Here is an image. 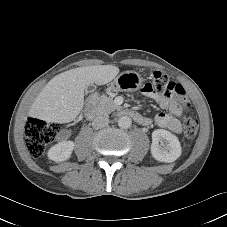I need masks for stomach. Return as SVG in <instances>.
Returning a JSON list of instances; mask_svg holds the SVG:
<instances>
[{"label":"stomach","mask_w":227,"mask_h":227,"mask_svg":"<svg viewBox=\"0 0 227 227\" xmlns=\"http://www.w3.org/2000/svg\"><path fill=\"white\" fill-rule=\"evenodd\" d=\"M143 78L138 72L125 71L111 82L109 89L114 92H134L140 89Z\"/></svg>","instance_id":"0dacf381"}]
</instances>
